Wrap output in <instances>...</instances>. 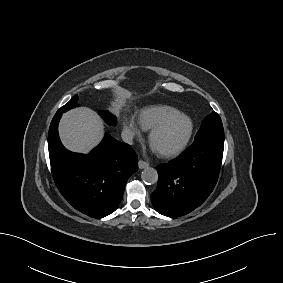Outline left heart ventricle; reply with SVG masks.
I'll list each match as a JSON object with an SVG mask.
<instances>
[{
  "mask_svg": "<svg viewBox=\"0 0 283 283\" xmlns=\"http://www.w3.org/2000/svg\"><path fill=\"white\" fill-rule=\"evenodd\" d=\"M187 130V120L173 119L153 137L151 143L158 152L172 149L183 140Z\"/></svg>",
  "mask_w": 283,
  "mask_h": 283,
  "instance_id": "left-heart-ventricle-1",
  "label": "left heart ventricle"
}]
</instances>
